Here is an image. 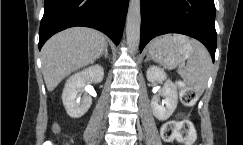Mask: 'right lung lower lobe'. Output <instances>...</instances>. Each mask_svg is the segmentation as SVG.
Returning <instances> with one entry per match:
<instances>
[{"instance_id": "obj_1", "label": "right lung lower lobe", "mask_w": 243, "mask_h": 145, "mask_svg": "<svg viewBox=\"0 0 243 145\" xmlns=\"http://www.w3.org/2000/svg\"><path fill=\"white\" fill-rule=\"evenodd\" d=\"M129 0H45L39 50L55 33L73 26L95 28L118 45Z\"/></svg>"}]
</instances>
